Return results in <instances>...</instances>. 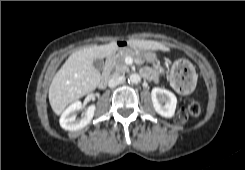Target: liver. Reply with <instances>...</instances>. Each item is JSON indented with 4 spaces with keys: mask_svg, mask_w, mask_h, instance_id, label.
<instances>
[{
    "mask_svg": "<svg viewBox=\"0 0 245 170\" xmlns=\"http://www.w3.org/2000/svg\"><path fill=\"white\" fill-rule=\"evenodd\" d=\"M127 45L139 50H169L164 44L153 40H128ZM118 49L117 43L111 42L82 48L68 57L54 75L49 87V102L56 115L62 114L70 103L96 89L101 74L93 66V61L109 57Z\"/></svg>",
    "mask_w": 245,
    "mask_h": 170,
    "instance_id": "liver-1",
    "label": "liver"
}]
</instances>
